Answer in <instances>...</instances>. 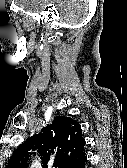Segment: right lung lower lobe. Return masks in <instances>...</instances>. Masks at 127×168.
<instances>
[{"label": "right lung lower lobe", "instance_id": "obj_1", "mask_svg": "<svg viewBox=\"0 0 127 168\" xmlns=\"http://www.w3.org/2000/svg\"><path fill=\"white\" fill-rule=\"evenodd\" d=\"M86 159H87V158H85V159H84L80 164H78L75 168H84Z\"/></svg>", "mask_w": 127, "mask_h": 168}]
</instances>
